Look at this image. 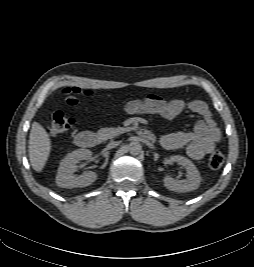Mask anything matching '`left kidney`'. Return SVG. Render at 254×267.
Returning a JSON list of instances; mask_svg holds the SVG:
<instances>
[{
    "mask_svg": "<svg viewBox=\"0 0 254 267\" xmlns=\"http://www.w3.org/2000/svg\"><path fill=\"white\" fill-rule=\"evenodd\" d=\"M170 162H176L186 169V179L176 180L170 176L164 178V186L175 192H189L197 189L201 184V177L197 167L192 161L180 155H173L170 157Z\"/></svg>",
    "mask_w": 254,
    "mask_h": 267,
    "instance_id": "left-kidney-1",
    "label": "left kidney"
}]
</instances>
